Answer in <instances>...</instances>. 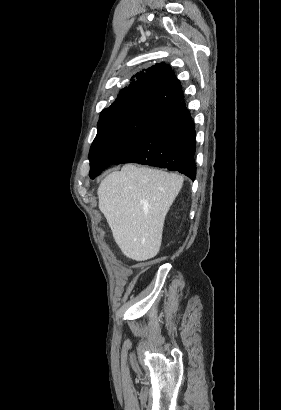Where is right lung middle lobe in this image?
<instances>
[{"label":"right lung middle lobe","instance_id":"obj_1","mask_svg":"<svg viewBox=\"0 0 281 410\" xmlns=\"http://www.w3.org/2000/svg\"><path fill=\"white\" fill-rule=\"evenodd\" d=\"M167 110L147 104H123L102 110L98 132L89 153L94 179L158 120Z\"/></svg>","mask_w":281,"mask_h":410}]
</instances>
